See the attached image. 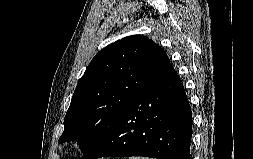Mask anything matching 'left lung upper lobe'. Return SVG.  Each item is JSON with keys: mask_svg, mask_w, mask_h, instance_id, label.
Listing matches in <instances>:
<instances>
[{"mask_svg": "<svg viewBox=\"0 0 253 159\" xmlns=\"http://www.w3.org/2000/svg\"><path fill=\"white\" fill-rule=\"evenodd\" d=\"M169 64L164 50L141 35L123 38L98 52L77 83L59 143L77 141L83 159H93L124 107Z\"/></svg>", "mask_w": 253, "mask_h": 159, "instance_id": "obj_1", "label": "left lung upper lobe"}]
</instances>
